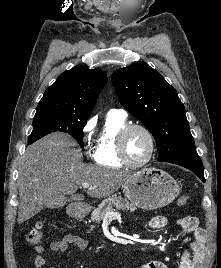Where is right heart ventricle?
Masks as SVG:
<instances>
[{"instance_id": "right-heart-ventricle-1", "label": "right heart ventricle", "mask_w": 221, "mask_h": 268, "mask_svg": "<svg viewBox=\"0 0 221 268\" xmlns=\"http://www.w3.org/2000/svg\"><path fill=\"white\" fill-rule=\"evenodd\" d=\"M125 125V117L115 114L107 115L103 130L98 136L93 152L95 163L115 169L124 167L117 153V135Z\"/></svg>"}]
</instances>
